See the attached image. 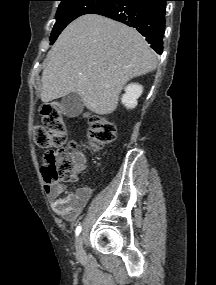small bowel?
<instances>
[{
	"mask_svg": "<svg viewBox=\"0 0 216 285\" xmlns=\"http://www.w3.org/2000/svg\"><path fill=\"white\" fill-rule=\"evenodd\" d=\"M74 166L77 173H82L86 167V158L82 153H74ZM45 190L52 200L54 212L66 219L74 221L83 211L90 195L87 188L78 189L74 193L62 196L64 186L60 183H46Z\"/></svg>",
	"mask_w": 216,
	"mask_h": 285,
	"instance_id": "c3829d8e",
	"label": "small bowel"
}]
</instances>
